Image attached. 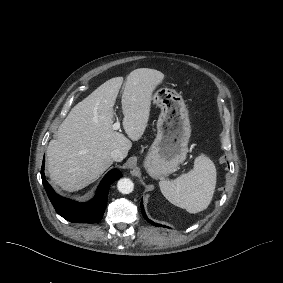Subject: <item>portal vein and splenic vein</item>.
<instances>
[{
    "instance_id": "obj_1",
    "label": "portal vein and splenic vein",
    "mask_w": 283,
    "mask_h": 283,
    "mask_svg": "<svg viewBox=\"0 0 283 283\" xmlns=\"http://www.w3.org/2000/svg\"><path fill=\"white\" fill-rule=\"evenodd\" d=\"M119 127H120V125H119L118 122H117V123H114V124L112 125V130H113V131H116V130L119 129Z\"/></svg>"
}]
</instances>
